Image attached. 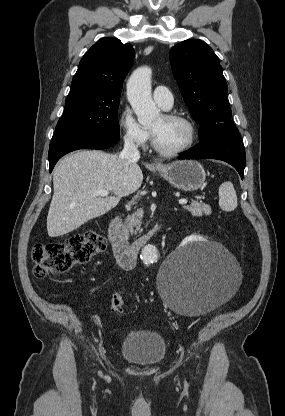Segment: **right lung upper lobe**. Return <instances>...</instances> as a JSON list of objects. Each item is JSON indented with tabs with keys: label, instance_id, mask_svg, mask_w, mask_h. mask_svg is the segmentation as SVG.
I'll return each mask as SVG.
<instances>
[{
	"label": "right lung upper lobe",
	"instance_id": "right-lung-upper-lobe-1",
	"mask_svg": "<svg viewBox=\"0 0 285 416\" xmlns=\"http://www.w3.org/2000/svg\"><path fill=\"white\" fill-rule=\"evenodd\" d=\"M133 60L132 45L116 38L100 39L82 57L68 96L84 100L119 98Z\"/></svg>",
	"mask_w": 285,
	"mask_h": 416
}]
</instances>
